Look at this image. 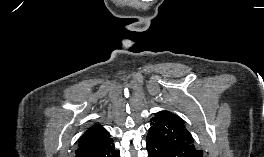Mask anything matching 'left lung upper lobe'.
<instances>
[{"mask_svg": "<svg viewBox=\"0 0 264 157\" xmlns=\"http://www.w3.org/2000/svg\"><path fill=\"white\" fill-rule=\"evenodd\" d=\"M147 140L164 146L170 157H203V151L195 148L184 121L169 111H160L151 119Z\"/></svg>", "mask_w": 264, "mask_h": 157, "instance_id": "obj_1", "label": "left lung upper lobe"}]
</instances>
